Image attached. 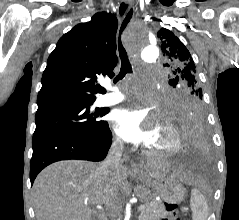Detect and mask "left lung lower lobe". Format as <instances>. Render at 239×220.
Segmentation results:
<instances>
[{
	"label": "left lung lower lobe",
	"instance_id": "0a47b994",
	"mask_svg": "<svg viewBox=\"0 0 239 220\" xmlns=\"http://www.w3.org/2000/svg\"><path fill=\"white\" fill-rule=\"evenodd\" d=\"M184 148L181 162L185 165L203 166L208 161V133L205 126L203 107H191L181 110L175 117Z\"/></svg>",
	"mask_w": 239,
	"mask_h": 220
}]
</instances>
